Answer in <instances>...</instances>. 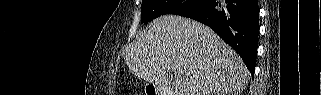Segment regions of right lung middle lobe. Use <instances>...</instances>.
<instances>
[{
    "label": "right lung middle lobe",
    "mask_w": 321,
    "mask_h": 95,
    "mask_svg": "<svg viewBox=\"0 0 321 95\" xmlns=\"http://www.w3.org/2000/svg\"><path fill=\"white\" fill-rule=\"evenodd\" d=\"M207 0H142L141 22L166 14L188 16L197 13Z\"/></svg>",
    "instance_id": "right-lung-middle-lobe-1"
}]
</instances>
